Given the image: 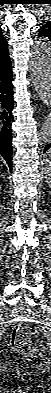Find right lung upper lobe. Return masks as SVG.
<instances>
[{
	"mask_svg": "<svg viewBox=\"0 0 51 393\" xmlns=\"http://www.w3.org/2000/svg\"><path fill=\"white\" fill-rule=\"evenodd\" d=\"M9 70H11V60L8 53V45L1 34L0 28V76L6 74Z\"/></svg>",
	"mask_w": 51,
	"mask_h": 393,
	"instance_id": "obj_1",
	"label": "right lung upper lobe"
}]
</instances>
